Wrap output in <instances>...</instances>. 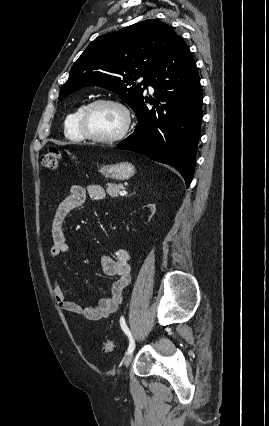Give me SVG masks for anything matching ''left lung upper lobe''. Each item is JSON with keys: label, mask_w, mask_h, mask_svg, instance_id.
<instances>
[{"label": "left lung upper lobe", "mask_w": 269, "mask_h": 426, "mask_svg": "<svg viewBox=\"0 0 269 426\" xmlns=\"http://www.w3.org/2000/svg\"><path fill=\"white\" fill-rule=\"evenodd\" d=\"M178 37L167 24L148 19L98 38L71 68L59 100L83 87L100 86L117 93L134 110L144 100L153 69ZM140 77L143 81L135 85Z\"/></svg>", "instance_id": "1"}]
</instances>
